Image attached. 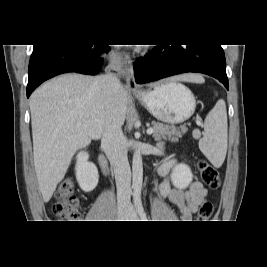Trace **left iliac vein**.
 Instances as JSON below:
<instances>
[{"label": "left iliac vein", "instance_id": "left-iliac-vein-1", "mask_svg": "<svg viewBox=\"0 0 267 267\" xmlns=\"http://www.w3.org/2000/svg\"><path fill=\"white\" fill-rule=\"evenodd\" d=\"M128 218L133 220V221H137L139 219L135 209L133 207H131L129 209V212H128Z\"/></svg>", "mask_w": 267, "mask_h": 267}]
</instances>
